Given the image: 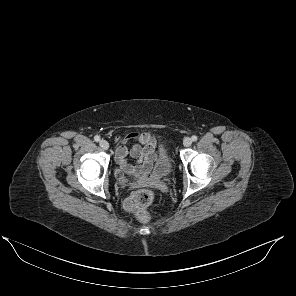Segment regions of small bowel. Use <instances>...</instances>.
<instances>
[{
  "label": "small bowel",
  "instance_id": "obj_1",
  "mask_svg": "<svg viewBox=\"0 0 296 296\" xmlns=\"http://www.w3.org/2000/svg\"><path fill=\"white\" fill-rule=\"evenodd\" d=\"M116 140L121 144L116 150L117 172L121 182H125L124 173L134 175L138 179L149 176L156 159L155 139L146 132H132L125 136H118ZM126 144H131L127 147ZM129 158L135 160L132 164Z\"/></svg>",
  "mask_w": 296,
  "mask_h": 296
}]
</instances>
